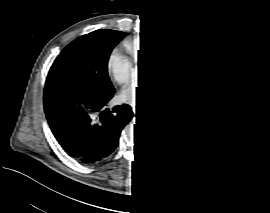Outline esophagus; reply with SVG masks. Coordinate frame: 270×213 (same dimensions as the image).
I'll list each match as a JSON object with an SVG mask.
<instances>
[{
    "label": "esophagus",
    "instance_id": "obj_1",
    "mask_svg": "<svg viewBox=\"0 0 270 213\" xmlns=\"http://www.w3.org/2000/svg\"><path fill=\"white\" fill-rule=\"evenodd\" d=\"M132 110H133V112L135 113L136 110H137V108H136V107H132Z\"/></svg>",
    "mask_w": 270,
    "mask_h": 213
}]
</instances>
